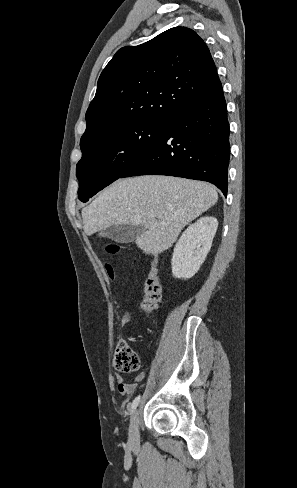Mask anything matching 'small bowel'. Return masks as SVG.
I'll use <instances>...</instances> for the list:
<instances>
[{"label":"small bowel","instance_id":"obj_1","mask_svg":"<svg viewBox=\"0 0 297 488\" xmlns=\"http://www.w3.org/2000/svg\"><path fill=\"white\" fill-rule=\"evenodd\" d=\"M130 320V316L126 315L123 317L122 322L127 323ZM114 379L117 385L118 391L124 396L128 397L135 393L140 382L143 381L145 377L144 372H139L131 381H127L121 374L115 372Z\"/></svg>","mask_w":297,"mask_h":488}]
</instances>
